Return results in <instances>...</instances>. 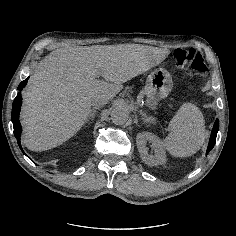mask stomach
Here are the masks:
<instances>
[{
  "instance_id": "1",
  "label": "stomach",
  "mask_w": 236,
  "mask_h": 236,
  "mask_svg": "<svg viewBox=\"0 0 236 236\" xmlns=\"http://www.w3.org/2000/svg\"><path fill=\"white\" fill-rule=\"evenodd\" d=\"M173 87L172 78L165 69H155L148 75L144 93L146 103L150 108H155L158 101L167 97Z\"/></svg>"
}]
</instances>
